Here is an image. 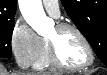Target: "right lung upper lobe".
I'll use <instances>...</instances> for the list:
<instances>
[{"label":"right lung upper lobe","mask_w":107,"mask_h":75,"mask_svg":"<svg viewBox=\"0 0 107 75\" xmlns=\"http://www.w3.org/2000/svg\"><path fill=\"white\" fill-rule=\"evenodd\" d=\"M16 13V0H0V22L13 21Z\"/></svg>","instance_id":"obj_1"}]
</instances>
